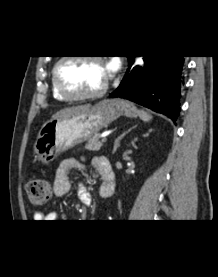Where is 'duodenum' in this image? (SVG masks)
I'll list each match as a JSON object with an SVG mask.
<instances>
[{
    "label": "duodenum",
    "instance_id": "obj_1",
    "mask_svg": "<svg viewBox=\"0 0 218 277\" xmlns=\"http://www.w3.org/2000/svg\"><path fill=\"white\" fill-rule=\"evenodd\" d=\"M98 167L99 168H104L106 170V175L102 177V183L100 184V192L102 196L108 197L111 195L107 194L108 190V182L110 180H113L112 177L109 176L110 174V162L107 158L104 157H99L98 158ZM113 192H114V187H113Z\"/></svg>",
    "mask_w": 218,
    "mask_h": 277
}]
</instances>
